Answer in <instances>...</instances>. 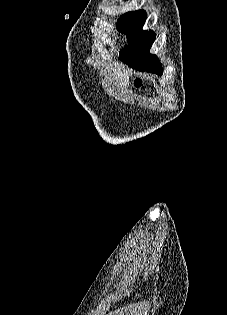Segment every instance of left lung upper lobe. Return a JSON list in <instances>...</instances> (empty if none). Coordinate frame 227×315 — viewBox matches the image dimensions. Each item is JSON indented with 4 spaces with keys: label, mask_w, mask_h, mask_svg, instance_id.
Here are the masks:
<instances>
[{
    "label": "left lung upper lobe",
    "mask_w": 227,
    "mask_h": 315,
    "mask_svg": "<svg viewBox=\"0 0 227 315\" xmlns=\"http://www.w3.org/2000/svg\"><path fill=\"white\" fill-rule=\"evenodd\" d=\"M147 14L144 10L132 11L123 14L116 26L118 30L125 33L128 37L129 44L121 51L120 58L127 62L130 58V50L140 45L144 40H155V33L152 30L143 31L142 26L145 23Z\"/></svg>",
    "instance_id": "1"
}]
</instances>
